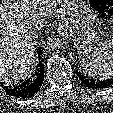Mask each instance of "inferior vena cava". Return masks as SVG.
<instances>
[{
	"label": "inferior vena cava",
	"instance_id": "1",
	"mask_svg": "<svg viewBox=\"0 0 113 113\" xmlns=\"http://www.w3.org/2000/svg\"><path fill=\"white\" fill-rule=\"evenodd\" d=\"M43 27H44L43 19H42V20H39V21H37V22H35L33 34H34V35H37V33H38L40 30H42Z\"/></svg>",
	"mask_w": 113,
	"mask_h": 113
}]
</instances>
